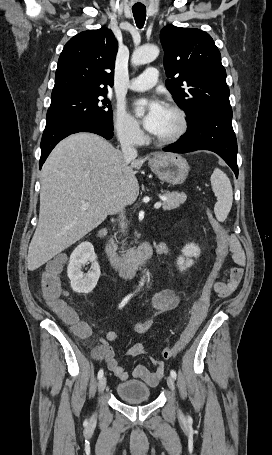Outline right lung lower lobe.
Segmentation results:
<instances>
[{
  "label": "right lung lower lobe",
  "mask_w": 272,
  "mask_h": 455,
  "mask_svg": "<svg viewBox=\"0 0 272 455\" xmlns=\"http://www.w3.org/2000/svg\"><path fill=\"white\" fill-rule=\"evenodd\" d=\"M78 132H91L106 139L113 137V128L95 120H68L46 125L41 140V158L39 168L41 169L46 158L52 149L65 137Z\"/></svg>",
  "instance_id": "obj_1"
}]
</instances>
